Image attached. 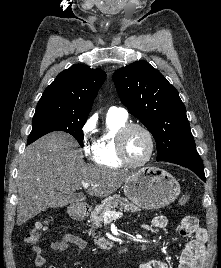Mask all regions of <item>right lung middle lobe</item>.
Here are the masks:
<instances>
[{
	"instance_id": "dd1d6c3e",
	"label": "right lung middle lobe",
	"mask_w": 221,
	"mask_h": 268,
	"mask_svg": "<svg viewBox=\"0 0 221 268\" xmlns=\"http://www.w3.org/2000/svg\"><path fill=\"white\" fill-rule=\"evenodd\" d=\"M87 116L65 111L41 110L33 117V127L28 142H33L43 135L53 131H63L71 134L83 146L82 127Z\"/></svg>"
}]
</instances>
